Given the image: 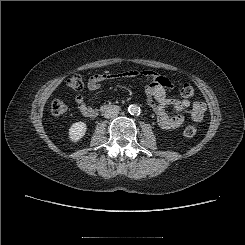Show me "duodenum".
Listing matches in <instances>:
<instances>
[{"instance_id": "1", "label": "duodenum", "mask_w": 245, "mask_h": 245, "mask_svg": "<svg viewBox=\"0 0 245 245\" xmlns=\"http://www.w3.org/2000/svg\"><path fill=\"white\" fill-rule=\"evenodd\" d=\"M117 109V106L112 105V104H104L100 107V111L104 112V111H108V110H115Z\"/></svg>"}]
</instances>
